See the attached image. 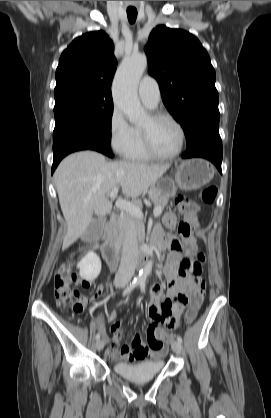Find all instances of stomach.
<instances>
[{
    "label": "stomach",
    "instance_id": "obj_1",
    "mask_svg": "<svg viewBox=\"0 0 271 418\" xmlns=\"http://www.w3.org/2000/svg\"><path fill=\"white\" fill-rule=\"evenodd\" d=\"M214 173L212 164L204 159L184 160L177 167L175 179L161 178L157 183V189H160L167 197H171L177 187L182 190H195L203 187L212 180Z\"/></svg>",
    "mask_w": 271,
    "mask_h": 418
}]
</instances>
